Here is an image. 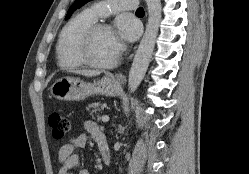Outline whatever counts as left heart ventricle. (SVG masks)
<instances>
[{
    "instance_id": "obj_1",
    "label": "left heart ventricle",
    "mask_w": 249,
    "mask_h": 174,
    "mask_svg": "<svg viewBox=\"0 0 249 174\" xmlns=\"http://www.w3.org/2000/svg\"><path fill=\"white\" fill-rule=\"evenodd\" d=\"M118 51V39L113 31H100L93 37L90 45V57L100 63L111 61Z\"/></svg>"
}]
</instances>
